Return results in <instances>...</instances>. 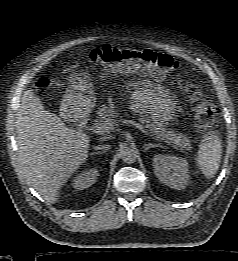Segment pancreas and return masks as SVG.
<instances>
[{"label": "pancreas", "mask_w": 238, "mask_h": 261, "mask_svg": "<svg viewBox=\"0 0 238 261\" xmlns=\"http://www.w3.org/2000/svg\"><path fill=\"white\" fill-rule=\"evenodd\" d=\"M96 113L98 118L97 120L100 121L112 122L119 117L113 103H110L109 105H101ZM139 121L146 123V127L149 128L154 137L171 144L175 149L180 150L181 152L192 150L191 142L185 134L175 132L172 129H167L162 123L152 121L145 116L140 118Z\"/></svg>", "instance_id": "1"}]
</instances>
